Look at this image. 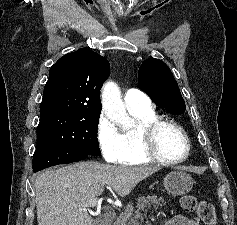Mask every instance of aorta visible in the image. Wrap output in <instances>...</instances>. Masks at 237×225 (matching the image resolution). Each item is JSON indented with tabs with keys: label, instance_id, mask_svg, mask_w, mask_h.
Returning <instances> with one entry per match:
<instances>
[{
	"label": "aorta",
	"instance_id": "obj_1",
	"mask_svg": "<svg viewBox=\"0 0 237 225\" xmlns=\"http://www.w3.org/2000/svg\"><path fill=\"white\" fill-rule=\"evenodd\" d=\"M101 103L106 116L125 129L135 126V121L129 117L122 102L119 87L112 81L102 87Z\"/></svg>",
	"mask_w": 237,
	"mask_h": 225
}]
</instances>
